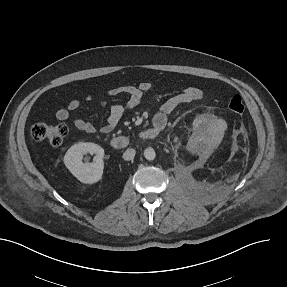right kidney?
Wrapping results in <instances>:
<instances>
[{"label":"right kidney","mask_w":287,"mask_h":287,"mask_svg":"<svg viewBox=\"0 0 287 287\" xmlns=\"http://www.w3.org/2000/svg\"><path fill=\"white\" fill-rule=\"evenodd\" d=\"M87 153L95 154L92 163L82 162L83 156ZM104 149L95 143L80 142L71 146L64 156V164L68 170L80 182L93 184L98 182L103 175Z\"/></svg>","instance_id":"ca27d5eb"}]
</instances>
